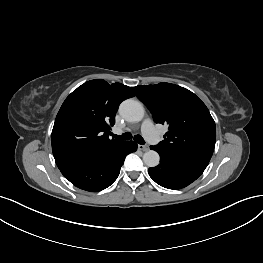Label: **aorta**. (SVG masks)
Segmentation results:
<instances>
[{
  "instance_id": "1",
  "label": "aorta",
  "mask_w": 263,
  "mask_h": 263,
  "mask_svg": "<svg viewBox=\"0 0 263 263\" xmlns=\"http://www.w3.org/2000/svg\"><path fill=\"white\" fill-rule=\"evenodd\" d=\"M119 113L129 122H139L144 117V107L139 101L127 99L121 103ZM159 161L160 156L156 151L149 150L143 155V162L148 167H156Z\"/></svg>"
}]
</instances>
